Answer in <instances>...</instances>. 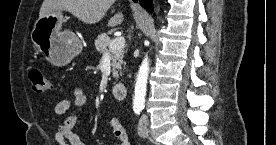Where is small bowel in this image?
<instances>
[{"label": "small bowel", "instance_id": "c3829d8e", "mask_svg": "<svg viewBox=\"0 0 276 145\" xmlns=\"http://www.w3.org/2000/svg\"><path fill=\"white\" fill-rule=\"evenodd\" d=\"M73 104L76 109L82 108L87 102V94L81 88L72 91ZM71 106L69 100H61L55 106V114L58 117V126L55 132V140L59 145H84L80 137L72 131L78 122V113L74 112L66 117V113ZM109 127L112 130L119 145H131L129 136L123 127L119 117H112L109 120Z\"/></svg>", "mask_w": 276, "mask_h": 145}]
</instances>
